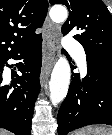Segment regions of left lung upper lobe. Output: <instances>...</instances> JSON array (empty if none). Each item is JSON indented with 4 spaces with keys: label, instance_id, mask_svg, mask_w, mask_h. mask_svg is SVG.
<instances>
[{
    "label": "left lung upper lobe",
    "instance_id": "5c2ea615",
    "mask_svg": "<svg viewBox=\"0 0 112 135\" xmlns=\"http://www.w3.org/2000/svg\"><path fill=\"white\" fill-rule=\"evenodd\" d=\"M63 4L69 17L62 33L78 31L74 38L81 43L86 55L112 59V17L101 0H50Z\"/></svg>",
    "mask_w": 112,
    "mask_h": 135
}]
</instances>
